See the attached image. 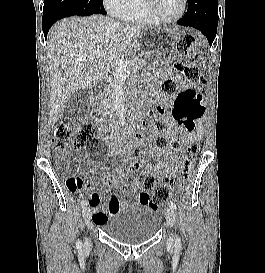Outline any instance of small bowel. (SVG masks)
Wrapping results in <instances>:
<instances>
[{
  "mask_svg": "<svg viewBox=\"0 0 265 273\" xmlns=\"http://www.w3.org/2000/svg\"><path fill=\"white\" fill-rule=\"evenodd\" d=\"M179 61L184 62V59L180 57ZM181 82L185 87H191V85L183 79H181ZM163 123L164 127L162 131L167 137L174 139L177 137V135L183 136L184 127L177 126L175 130H173L171 127L172 120L169 116L164 117ZM116 153L130 159L132 154V147L125 146L121 149H116ZM147 156L151 159H158L160 156L163 157L162 161L157 163L141 164L140 168L142 175L152 174L157 176L159 179H163L164 177L172 175L175 170V166L178 164L180 159L179 151L172 148H166L161 153L148 150ZM122 171L123 169L120 166H115L112 173L109 176H105L101 180L103 184L111 186L114 190V194L110 200L109 205H104L102 203L101 196L98 193H90L87 200H85L93 208V222L98 227L106 223L109 217L116 213L119 209L127 207V203L119 199L121 197V191L119 190V177L122 174ZM83 181L85 191H90L93 185L92 182L88 180ZM141 184L142 181L140 178L136 177L132 181V188L135 190V199L133 200V203L150 204L151 200L149 190H141Z\"/></svg>",
  "mask_w": 265,
  "mask_h": 273,
  "instance_id": "obj_1",
  "label": "small bowel"
}]
</instances>
